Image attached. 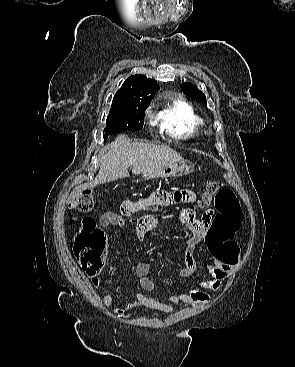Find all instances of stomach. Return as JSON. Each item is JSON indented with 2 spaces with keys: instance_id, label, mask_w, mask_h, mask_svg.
Returning a JSON list of instances; mask_svg holds the SVG:
<instances>
[{
  "instance_id": "1",
  "label": "stomach",
  "mask_w": 295,
  "mask_h": 367,
  "mask_svg": "<svg viewBox=\"0 0 295 367\" xmlns=\"http://www.w3.org/2000/svg\"><path fill=\"white\" fill-rule=\"evenodd\" d=\"M194 169V165L192 163H187L185 161L174 163L170 166H166L159 170L150 172L148 174H144L145 179L151 178H171V177H180L187 174H190Z\"/></svg>"
}]
</instances>
